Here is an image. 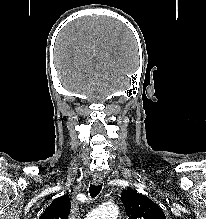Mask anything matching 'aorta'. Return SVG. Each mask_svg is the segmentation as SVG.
Segmentation results:
<instances>
[{
  "label": "aorta",
  "mask_w": 206,
  "mask_h": 219,
  "mask_svg": "<svg viewBox=\"0 0 206 219\" xmlns=\"http://www.w3.org/2000/svg\"><path fill=\"white\" fill-rule=\"evenodd\" d=\"M117 216L118 207L114 204H105L92 211L87 219H117Z\"/></svg>",
  "instance_id": "762f6f07"
}]
</instances>
